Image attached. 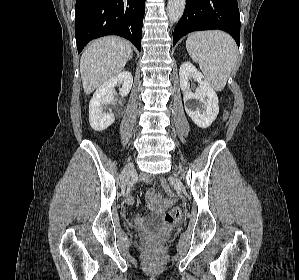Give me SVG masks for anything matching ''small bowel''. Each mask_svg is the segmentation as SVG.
Segmentation results:
<instances>
[{"label": "small bowel", "mask_w": 299, "mask_h": 280, "mask_svg": "<svg viewBox=\"0 0 299 280\" xmlns=\"http://www.w3.org/2000/svg\"><path fill=\"white\" fill-rule=\"evenodd\" d=\"M146 200L147 205L150 209L155 211H161L165 209L168 205L173 203L175 201V197L170 195L168 198H163L153 188H151L146 193ZM132 202L133 199L131 197H127L126 203L131 204Z\"/></svg>", "instance_id": "1"}]
</instances>
